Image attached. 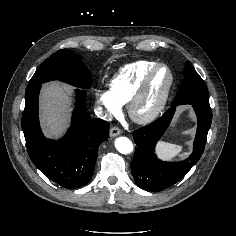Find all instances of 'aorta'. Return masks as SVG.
I'll return each instance as SVG.
<instances>
[{
	"instance_id": "1",
	"label": "aorta",
	"mask_w": 236,
	"mask_h": 236,
	"mask_svg": "<svg viewBox=\"0 0 236 236\" xmlns=\"http://www.w3.org/2000/svg\"><path fill=\"white\" fill-rule=\"evenodd\" d=\"M115 147L122 154H129L133 151V144L127 137H118L115 140Z\"/></svg>"
}]
</instances>
